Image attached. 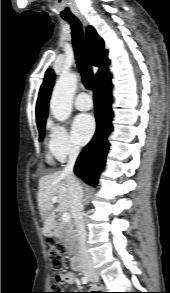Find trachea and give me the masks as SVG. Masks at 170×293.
Segmentation results:
<instances>
[{
  "label": "trachea",
  "instance_id": "1",
  "mask_svg": "<svg viewBox=\"0 0 170 293\" xmlns=\"http://www.w3.org/2000/svg\"><path fill=\"white\" fill-rule=\"evenodd\" d=\"M65 20L68 21L71 25L73 48L77 67L82 77V82L87 89L92 90L94 84V75L85 50L82 25L77 18Z\"/></svg>",
  "mask_w": 170,
  "mask_h": 293
}]
</instances>
